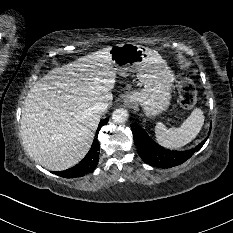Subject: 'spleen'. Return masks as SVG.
Masks as SVG:
<instances>
[{
  "label": "spleen",
  "instance_id": "3e777b00",
  "mask_svg": "<svg viewBox=\"0 0 233 233\" xmlns=\"http://www.w3.org/2000/svg\"><path fill=\"white\" fill-rule=\"evenodd\" d=\"M203 124L204 113L200 108H195L178 128H167L158 122L155 126V137L164 147L178 149L190 143L199 134Z\"/></svg>",
  "mask_w": 233,
  "mask_h": 233
}]
</instances>
